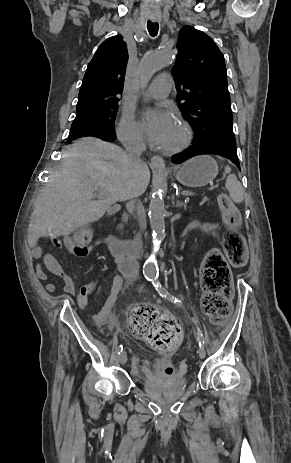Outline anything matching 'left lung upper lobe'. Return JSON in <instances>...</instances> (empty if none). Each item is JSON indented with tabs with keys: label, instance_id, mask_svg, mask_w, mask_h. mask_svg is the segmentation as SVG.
Instances as JSON below:
<instances>
[{
	"label": "left lung upper lobe",
	"instance_id": "left-lung-upper-lobe-1",
	"mask_svg": "<svg viewBox=\"0 0 291 463\" xmlns=\"http://www.w3.org/2000/svg\"><path fill=\"white\" fill-rule=\"evenodd\" d=\"M175 77L180 110L195 137L236 145L224 56L215 42L192 26L178 34Z\"/></svg>",
	"mask_w": 291,
	"mask_h": 463
}]
</instances>
